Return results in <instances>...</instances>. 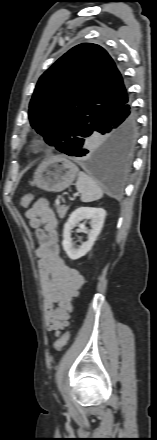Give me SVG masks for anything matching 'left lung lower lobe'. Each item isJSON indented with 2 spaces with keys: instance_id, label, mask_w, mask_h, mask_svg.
I'll return each mask as SVG.
<instances>
[{
  "instance_id": "1",
  "label": "left lung lower lobe",
  "mask_w": 157,
  "mask_h": 440,
  "mask_svg": "<svg viewBox=\"0 0 157 440\" xmlns=\"http://www.w3.org/2000/svg\"><path fill=\"white\" fill-rule=\"evenodd\" d=\"M94 132L104 135L96 151H89L85 142L79 141L62 153L79 157L83 166L97 175L119 181L130 167L137 135V118L129 97L108 111L99 120Z\"/></svg>"
}]
</instances>
